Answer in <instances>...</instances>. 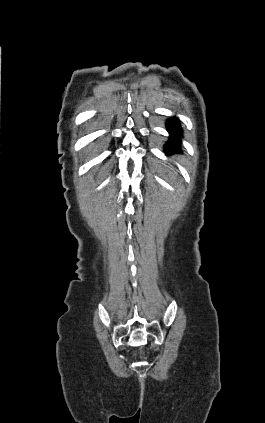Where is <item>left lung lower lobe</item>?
Returning <instances> with one entry per match:
<instances>
[{"instance_id":"1","label":"left lung lower lobe","mask_w":265,"mask_h":423,"mask_svg":"<svg viewBox=\"0 0 265 423\" xmlns=\"http://www.w3.org/2000/svg\"><path fill=\"white\" fill-rule=\"evenodd\" d=\"M167 130L170 133V138L168 143L165 145V151L167 152H173L178 151L180 146V138L182 129L179 124V121L177 119L174 120H168L166 123Z\"/></svg>"}]
</instances>
